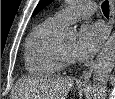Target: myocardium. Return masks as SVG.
<instances>
[{
	"mask_svg": "<svg viewBox=\"0 0 115 99\" xmlns=\"http://www.w3.org/2000/svg\"><path fill=\"white\" fill-rule=\"evenodd\" d=\"M58 56H59L61 62L63 63V65H65V66L73 65L76 62V60L73 56L68 55L61 48L58 49Z\"/></svg>",
	"mask_w": 115,
	"mask_h": 99,
	"instance_id": "f54148a6",
	"label": "myocardium"
}]
</instances>
